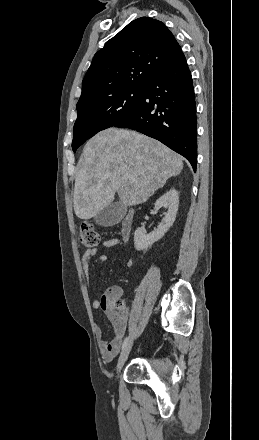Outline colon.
Instances as JSON below:
<instances>
[{
	"label": "colon",
	"mask_w": 259,
	"mask_h": 440,
	"mask_svg": "<svg viewBox=\"0 0 259 440\" xmlns=\"http://www.w3.org/2000/svg\"><path fill=\"white\" fill-rule=\"evenodd\" d=\"M79 241L82 246L86 248H93L99 245L100 235L92 224L85 222L80 226ZM104 302L110 304L112 307L120 311H124L123 303L118 301L117 298H106Z\"/></svg>",
	"instance_id": "colon-1"
}]
</instances>
